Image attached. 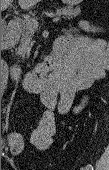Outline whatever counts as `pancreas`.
Returning a JSON list of instances; mask_svg holds the SVG:
<instances>
[{
	"label": "pancreas",
	"mask_w": 109,
	"mask_h": 170,
	"mask_svg": "<svg viewBox=\"0 0 109 170\" xmlns=\"http://www.w3.org/2000/svg\"><path fill=\"white\" fill-rule=\"evenodd\" d=\"M80 14V8L74 9L72 7H63L61 9H57L55 13H52V15L58 18V21L61 19L75 18ZM32 16H35V14H32ZM31 29L25 22H22V39L20 43L21 46L32 43L34 32Z\"/></svg>",
	"instance_id": "pancreas-1"
}]
</instances>
